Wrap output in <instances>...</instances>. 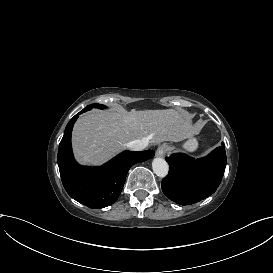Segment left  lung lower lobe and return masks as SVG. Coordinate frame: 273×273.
<instances>
[{
  "mask_svg": "<svg viewBox=\"0 0 273 273\" xmlns=\"http://www.w3.org/2000/svg\"><path fill=\"white\" fill-rule=\"evenodd\" d=\"M170 171L162 180L163 193L180 205L199 202L218 188L226 167L225 145L216 148L208 156L194 160L176 153L166 157Z\"/></svg>",
  "mask_w": 273,
  "mask_h": 273,
  "instance_id": "left-lung-lower-lobe-1",
  "label": "left lung lower lobe"
}]
</instances>
